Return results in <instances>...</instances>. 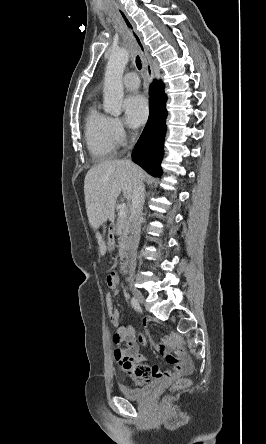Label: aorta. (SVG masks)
Masks as SVG:
<instances>
[{
  "mask_svg": "<svg viewBox=\"0 0 266 444\" xmlns=\"http://www.w3.org/2000/svg\"><path fill=\"white\" fill-rule=\"evenodd\" d=\"M128 59V51L118 49L110 55L107 62L104 78L103 109L113 116H119L122 111L124 96L122 76Z\"/></svg>",
  "mask_w": 266,
  "mask_h": 444,
  "instance_id": "aorta-1",
  "label": "aorta"
}]
</instances>
